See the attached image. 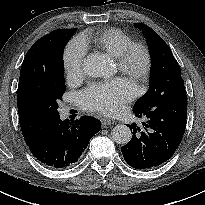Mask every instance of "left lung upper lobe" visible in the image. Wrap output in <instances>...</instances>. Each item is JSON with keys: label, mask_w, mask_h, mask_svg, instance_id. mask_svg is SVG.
Wrapping results in <instances>:
<instances>
[{"label": "left lung upper lobe", "mask_w": 205, "mask_h": 205, "mask_svg": "<svg viewBox=\"0 0 205 205\" xmlns=\"http://www.w3.org/2000/svg\"><path fill=\"white\" fill-rule=\"evenodd\" d=\"M135 26L142 30L146 38L152 65L149 90L135 103L133 111H141L172 96H186L180 67L168 45L147 25L136 23Z\"/></svg>", "instance_id": "1"}]
</instances>
